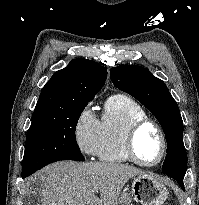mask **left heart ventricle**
<instances>
[{
    "mask_svg": "<svg viewBox=\"0 0 199 205\" xmlns=\"http://www.w3.org/2000/svg\"><path fill=\"white\" fill-rule=\"evenodd\" d=\"M136 152L139 158L145 162L156 161L162 149V143L157 130L152 126L142 128L136 137Z\"/></svg>",
    "mask_w": 199,
    "mask_h": 205,
    "instance_id": "1",
    "label": "left heart ventricle"
}]
</instances>
